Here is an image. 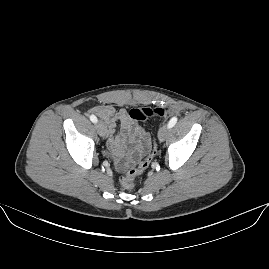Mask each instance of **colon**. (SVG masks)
<instances>
[{
  "label": "colon",
  "instance_id": "colon-1",
  "mask_svg": "<svg viewBox=\"0 0 269 269\" xmlns=\"http://www.w3.org/2000/svg\"><path fill=\"white\" fill-rule=\"evenodd\" d=\"M165 110L162 107H133L131 108L129 115L133 120L145 121L150 116H163ZM155 154V148L152 145L148 150L142 152L138 165L128 169L121 177L120 184L124 189L131 190L135 186V180L137 176L142 173L149 166L153 156Z\"/></svg>",
  "mask_w": 269,
  "mask_h": 269
}]
</instances>
